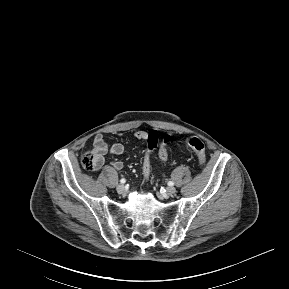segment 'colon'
I'll return each mask as SVG.
<instances>
[{
	"label": "colon",
	"mask_w": 289,
	"mask_h": 289,
	"mask_svg": "<svg viewBox=\"0 0 289 289\" xmlns=\"http://www.w3.org/2000/svg\"><path fill=\"white\" fill-rule=\"evenodd\" d=\"M170 141V136L165 135L162 140L159 139V134L157 131L152 130L148 133V138L146 140V153L143 157L142 161V174L145 179L149 178L152 168V159L151 153L154 150H158V157L162 161H166L168 159V150L167 145ZM184 142L187 146L193 149L198 157L199 165L203 167L205 165V146L203 142L194 136H188L184 138ZM81 164L86 170H93L96 168L97 159L95 155L91 152H86L81 157Z\"/></svg>",
	"instance_id": "colon-1"
}]
</instances>
